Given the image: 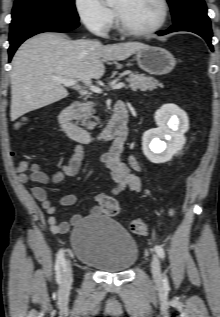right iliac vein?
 Masks as SVG:
<instances>
[{
  "mask_svg": "<svg viewBox=\"0 0 220 317\" xmlns=\"http://www.w3.org/2000/svg\"><path fill=\"white\" fill-rule=\"evenodd\" d=\"M72 281H73L72 268H71L70 262L67 261L65 266L64 277H63V289L68 290L72 284Z\"/></svg>",
  "mask_w": 220,
  "mask_h": 317,
  "instance_id": "right-iliac-vein-1",
  "label": "right iliac vein"
}]
</instances>
